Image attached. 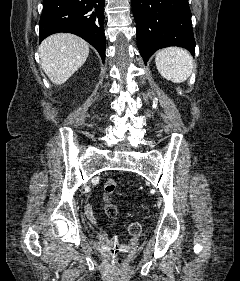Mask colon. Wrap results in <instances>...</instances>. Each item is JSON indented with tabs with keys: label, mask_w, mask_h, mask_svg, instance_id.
Wrapping results in <instances>:
<instances>
[{
	"label": "colon",
	"mask_w": 240,
	"mask_h": 281,
	"mask_svg": "<svg viewBox=\"0 0 240 281\" xmlns=\"http://www.w3.org/2000/svg\"><path fill=\"white\" fill-rule=\"evenodd\" d=\"M104 212L107 217L109 218H115L118 215V207L116 204L112 201V195L116 193L117 191V183L114 179L110 178L106 180L104 184ZM141 223L138 221H131L128 224V232L132 235L139 234L141 232ZM109 254L112 257L113 263L116 265H122L124 263L123 258L120 256L121 249L119 245L113 244L109 248Z\"/></svg>",
	"instance_id": "1"
}]
</instances>
